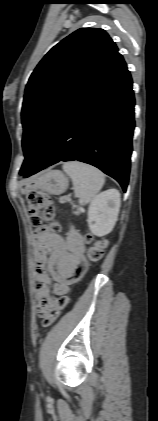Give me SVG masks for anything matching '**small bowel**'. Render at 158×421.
<instances>
[{"label": "small bowel", "mask_w": 158, "mask_h": 421, "mask_svg": "<svg viewBox=\"0 0 158 421\" xmlns=\"http://www.w3.org/2000/svg\"><path fill=\"white\" fill-rule=\"evenodd\" d=\"M34 260L38 308L42 313L54 307L57 297L66 295L70 285L86 271L84 237L73 225L66 237L42 228L36 236Z\"/></svg>", "instance_id": "obj_1"}]
</instances>
